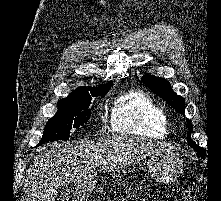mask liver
<instances>
[{
	"mask_svg": "<svg viewBox=\"0 0 221 201\" xmlns=\"http://www.w3.org/2000/svg\"><path fill=\"white\" fill-rule=\"evenodd\" d=\"M166 151L174 149L133 136L117 135L86 142L47 144L38 150L28 170L23 201H55L58 189L65 184L78 188L93 186L98 166L102 165L103 172L117 171L146 156Z\"/></svg>",
	"mask_w": 221,
	"mask_h": 201,
	"instance_id": "1",
	"label": "liver"
}]
</instances>
